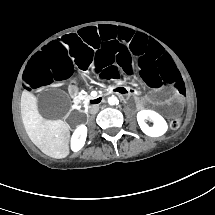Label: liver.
Listing matches in <instances>:
<instances>
[{
  "mask_svg": "<svg viewBox=\"0 0 215 215\" xmlns=\"http://www.w3.org/2000/svg\"><path fill=\"white\" fill-rule=\"evenodd\" d=\"M63 83L51 84V87L62 86ZM22 121L30 140L46 155L64 158L69 154V125L63 120H47L43 118L32 101L31 94L22 93Z\"/></svg>",
  "mask_w": 215,
  "mask_h": 215,
  "instance_id": "liver-1",
  "label": "liver"
}]
</instances>
